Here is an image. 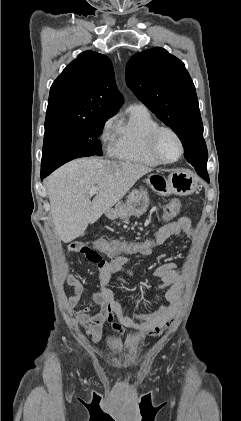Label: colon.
<instances>
[{
	"label": "colon",
	"mask_w": 241,
	"mask_h": 421,
	"mask_svg": "<svg viewBox=\"0 0 241 421\" xmlns=\"http://www.w3.org/2000/svg\"><path fill=\"white\" fill-rule=\"evenodd\" d=\"M179 209L180 202L177 199L171 200L164 206L162 217L163 220L166 221V224L170 223L171 220L175 218ZM160 244L159 238H150L137 242L120 240H101L97 242L78 241L72 243L69 247L72 252L84 254L89 261L100 266L106 262L105 255H142L151 252Z\"/></svg>",
	"instance_id": "1"
}]
</instances>
